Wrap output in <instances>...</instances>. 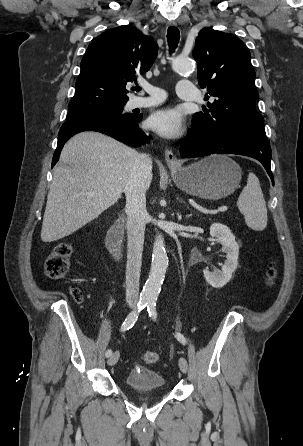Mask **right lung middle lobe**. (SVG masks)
<instances>
[{
  "mask_svg": "<svg viewBox=\"0 0 303 446\" xmlns=\"http://www.w3.org/2000/svg\"><path fill=\"white\" fill-rule=\"evenodd\" d=\"M124 105L125 104L104 106V107H99V108H95V109L88 110V111H83V110H78V109H68V114H67L66 119H70V118H73L76 116H81V115L92 114V113L106 114V115L125 117V118L133 117L134 116L133 114H122Z\"/></svg>",
  "mask_w": 303,
  "mask_h": 446,
  "instance_id": "obj_1",
  "label": "right lung middle lobe"
}]
</instances>
